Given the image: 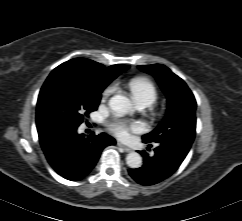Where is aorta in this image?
<instances>
[{"mask_svg":"<svg viewBox=\"0 0 242 221\" xmlns=\"http://www.w3.org/2000/svg\"><path fill=\"white\" fill-rule=\"evenodd\" d=\"M109 106L114 112L120 114H125L132 110L130 99L123 95H114L111 97ZM126 164L133 169L139 168L142 165V157L137 152H131L126 156Z\"/></svg>","mask_w":242,"mask_h":221,"instance_id":"762f6f07","label":"aorta"}]
</instances>
